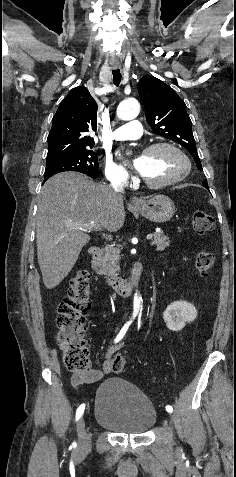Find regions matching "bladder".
<instances>
[{
	"label": "bladder",
	"instance_id": "bladder-1",
	"mask_svg": "<svg viewBox=\"0 0 236 477\" xmlns=\"http://www.w3.org/2000/svg\"><path fill=\"white\" fill-rule=\"evenodd\" d=\"M95 421L113 432L142 435L157 421V411L146 394L134 384L110 377L98 387L94 399Z\"/></svg>",
	"mask_w": 236,
	"mask_h": 477
}]
</instances>
